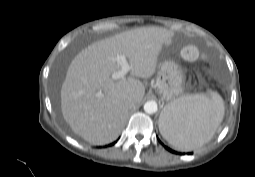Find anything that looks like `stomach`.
<instances>
[{
  "label": "stomach",
  "instance_id": "obj_1",
  "mask_svg": "<svg viewBox=\"0 0 255 177\" xmlns=\"http://www.w3.org/2000/svg\"><path fill=\"white\" fill-rule=\"evenodd\" d=\"M184 83L183 71L177 63L170 60L159 63L155 88L165 100L171 103L180 98L183 95Z\"/></svg>",
  "mask_w": 255,
  "mask_h": 177
}]
</instances>
